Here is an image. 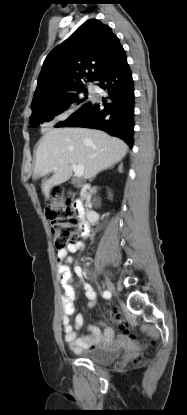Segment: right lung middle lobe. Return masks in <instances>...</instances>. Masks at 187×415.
Returning <instances> with one entry per match:
<instances>
[{"label": "right lung middle lobe", "instance_id": "1", "mask_svg": "<svg viewBox=\"0 0 187 415\" xmlns=\"http://www.w3.org/2000/svg\"><path fill=\"white\" fill-rule=\"evenodd\" d=\"M76 91H83L87 93V91L83 87H79L74 91L66 94L60 101L56 103L33 108L32 115L30 116L31 126L35 127L44 121L52 120L55 115L68 109L73 104H81L83 100L78 98Z\"/></svg>", "mask_w": 187, "mask_h": 415}]
</instances>
